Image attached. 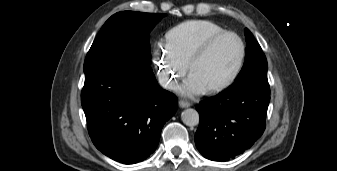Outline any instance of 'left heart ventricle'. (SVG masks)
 <instances>
[{
  "instance_id": "left-heart-ventricle-1",
  "label": "left heart ventricle",
  "mask_w": 337,
  "mask_h": 171,
  "mask_svg": "<svg viewBox=\"0 0 337 171\" xmlns=\"http://www.w3.org/2000/svg\"><path fill=\"white\" fill-rule=\"evenodd\" d=\"M240 56V45L231 36L217 41L193 66L191 74L207 88L223 82L233 71Z\"/></svg>"
}]
</instances>
